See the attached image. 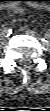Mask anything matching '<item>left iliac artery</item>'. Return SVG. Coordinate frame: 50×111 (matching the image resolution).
Returning a JSON list of instances; mask_svg holds the SVG:
<instances>
[{"label":"left iliac artery","instance_id":"obj_1","mask_svg":"<svg viewBox=\"0 0 50 111\" xmlns=\"http://www.w3.org/2000/svg\"><path fill=\"white\" fill-rule=\"evenodd\" d=\"M44 42H46V43H48V41L47 40H45V39H42Z\"/></svg>","mask_w":50,"mask_h":111}]
</instances>
